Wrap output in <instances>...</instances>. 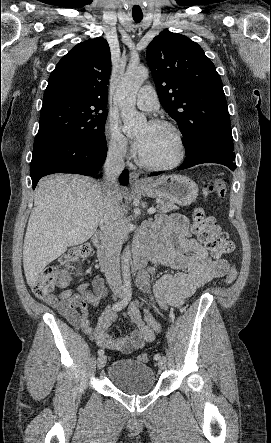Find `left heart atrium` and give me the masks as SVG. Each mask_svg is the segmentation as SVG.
Instances as JSON below:
<instances>
[{
  "instance_id": "obj_1",
  "label": "left heart atrium",
  "mask_w": 271,
  "mask_h": 443,
  "mask_svg": "<svg viewBox=\"0 0 271 443\" xmlns=\"http://www.w3.org/2000/svg\"><path fill=\"white\" fill-rule=\"evenodd\" d=\"M145 145V138L141 137L139 139H136L135 141V148L138 152H141Z\"/></svg>"
}]
</instances>
